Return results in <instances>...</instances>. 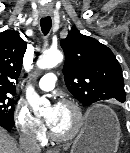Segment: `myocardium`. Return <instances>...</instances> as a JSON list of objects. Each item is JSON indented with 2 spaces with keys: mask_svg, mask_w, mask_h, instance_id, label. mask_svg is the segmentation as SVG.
Here are the masks:
<instances>
[{
  "mask_svg": "<svg viewBox=\"0 0 130 153\" xmlns=\"http://www.w3.org/2000/svg\"><path fill=\"white\" fill-rule=\"evenodd\" d=\"M60 105L69 107L73 111V113L75 115V123H74L72 129L66 134H59L56 131H54L50 126H49V133H50L51 138L54 141L68 142V141L73 140L81 131V129L84 125V121H85L84 113H83L80 105L77 102H75L74 100L63 99L60 102Z\"/></svg>",
  "mask_w": 130,
  "mask_h": 153,
  "instance_id": "f54148a6",
  "label": "myocardium"
}]
</instances>
